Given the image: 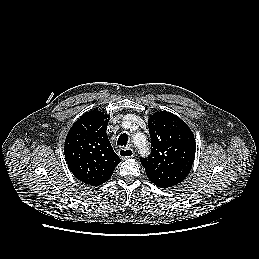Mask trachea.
<instances>
[{
	"label": "trachea",
	"instance_id": "trachea-1",
	"mask_svg": "<svg viewBox=\"0 0 259 259\" xmlns=\"http://www.w3.org/2000/svg\"><path fill=\"white\" fill-rule=\"evenodd\" d=\"M128 141V135L126 133H123L119 136L117 144L120 146H126Z\"/></svg>",
	"mask_w": 259,
	"mask_h": 259
}]
</instances>
